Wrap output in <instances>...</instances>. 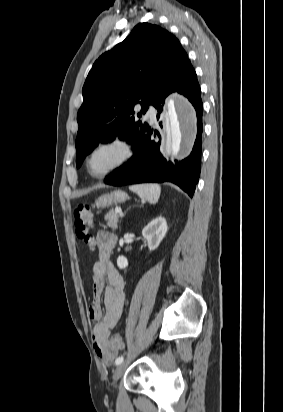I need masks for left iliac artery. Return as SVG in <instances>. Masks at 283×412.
<instances>
[{"label":"left iliac artery","mask_w":283,"mask_h":412,"mask_svg":"<svg viewBox=\"0 0 283 412\" xmlns=\"http://www.w3.org/2000/svg\"><path fill=\"white\" fill-rule=\"evenodd\" d=\"M123 360H124L123 356H120V357H118V358L116 359L115 364H116V365H119V364H121V363L123 362Z\"/></svg>","instance_id":"1"}]
</instances>
